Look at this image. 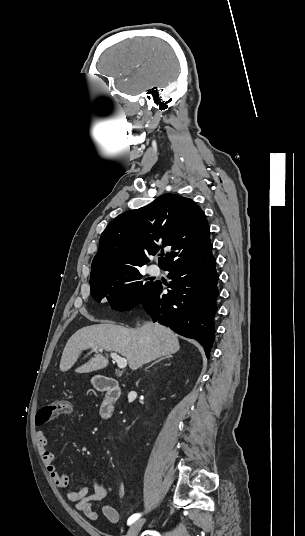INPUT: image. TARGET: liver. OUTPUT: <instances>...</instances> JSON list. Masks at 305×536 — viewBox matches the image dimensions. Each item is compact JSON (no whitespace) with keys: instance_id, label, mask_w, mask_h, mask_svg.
Returning a JSON list of instances; mask_svg holds the SVG:
<instances>
[{"instance_id":"liver-1","label":"liver","mask_w":305,"mask_h":536,"mask_svg":"<svg viewBox=\"0 0 305 536\" xmlns=\"http://www.w3.org/2000/svg\"><path fill=\"white\" fill-rule=\"evenodd\" d=\"M99 348L106 352H118L127 358L129 368L138 370L143 364L153 362L162 356H171L180 350L178 338L172 330L153 324V322H143L138 324L137 330H129L123 326H114V322L108 324H97V326H87L75 332L69 338L62 354L60 362V372H67L75 362H77L83 350ZM109 362L102 352H96L87 364L77 368L78 374H88L103 370Z\"/></svg>"}]
</instances>
